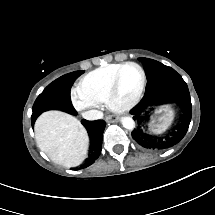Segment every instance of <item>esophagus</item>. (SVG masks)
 Here are the masks:
<instances>
[{"label":"esophagus","instance_id":"obj_1","mask_svg":"<svg viewBox=\"0 0 215 215\" xmlns=\"http://www.w3.org/2000/svg\"><path fill=\"white\" fill-rule=\"evenodd\" d=\"M118 120V117H114V116H106V121L108 123H113V122H116Z\"/></svg>","mask_w":215,"mask_h":215}]
</instances>
